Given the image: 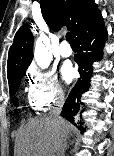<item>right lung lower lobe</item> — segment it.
I'll use <instances>...</instances> for the list:
<instances>
[{
	"label": "right lung lower lobe",
	"instance_id": "right-lung-lower-lobe-1",
	"mask_svg": "<svg viewBox=\"0 0 114 156\" xmlns=\"http://www.w3.org/2000/svg\"><path fill=\"white\" fill-rule=\"evenodd\" d=\"M74 36L78 45V54L75 56V60L79 65L78 71L81 77L70 92L61 115L76 125L81 124L80 117L83 105L80 100L81 95L87 91L89 87L92 63L98 60L100 55V51L96 49L98 46L104 44L107 38V31L104 27V20L100 11L97 10ZM78 128L82 129V127L79 126Z\"/></svg>",
	"mask_w": 114,
	"mask_h": 156
}]
</instances>
